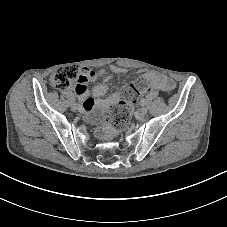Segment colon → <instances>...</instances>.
<instances>
[{
  "instance_id": "1",
  "label": "colon",
  "mask_w": 227,
  "mask_h": 227,
  "mask_svg": "<svg viewBox=\"0 0 227 227\" xmlns=\"http://www.w3.org/2000/svg\"><path fill=\"white\" fill-rule=\"evenodd\" d=\"M79 79L80 73L76 67L65 66L56 70L52 76L51 82L54 87L65 90L75 86ZM146 89L147 82L144 78L138 79L123 88L118 106L109 116V119L96 130V134L100 139L107 140L111 138L115 131L127 126L133 103L136 102L141 92Z\"/></svg>"
}]
</instances>
